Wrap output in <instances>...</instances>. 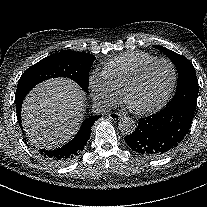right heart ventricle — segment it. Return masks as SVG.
I'll list each match as a JSON object with an SVG mask.
<instances>
[{
	"label": "right heart ventricle",
	"instance_id": "e07e8e85",
	"mask_svg": "<svg viewBox=\"0 0 207 207\" xmlns=\"http://www.w3.org/2000/svg\"><path fill=\"white\" fill-rule=\"evenodd\" d=\"M154 59V56L144 52L122 54L104 66L102 76L112 89L121 95L127 82L143 65Z\"/></svg>",
	"mask_w": 207,
	"mask_h": 207
}]
</instances>
